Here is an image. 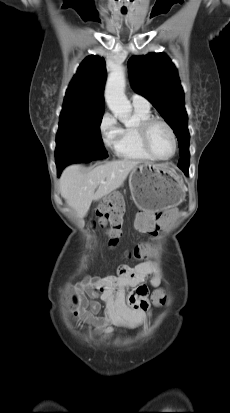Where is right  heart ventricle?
Segmentation results:
<instances>
[{
  "mask_svg": "<svg viewBox=\"0 0 230 413\" xmlns=\"http://www.w3.org/2000/svg\"><path fill=\"white\" fill-rule=\"evenodd\" d=\"M137 124L133 126H125L120 129V135L115 145V154L122 159L130 161L145 162L152 158L145 152L142 147L138 125L142 121L150 117L149 110L134 108Z\"/></svg>",
  "mask_w": 230,
  "mask_h": 413,
  "instance_id": "obj_1",
  "label": "right heart ventricle"
}]
</instances>
